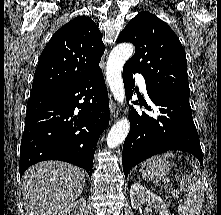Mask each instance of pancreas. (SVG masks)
Instances as JSON below:
<instances>
[{
	"label": "pancreas",
	"mask_w": 221,
	"mask_h": 215,
	"mask_svg": "<svg viewBox=\"0 0 221 215\" xmlns=\"http://www.w3.org/2000/svg\"><path fill=\"white\" fill-rule=\"evenodd\" d=\"M168 204H171V201H168Z\"/></svg>",
	"instance_id": "obj_1"
}]
</instances>
